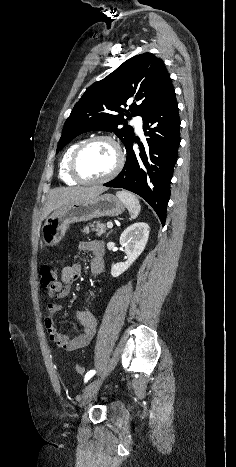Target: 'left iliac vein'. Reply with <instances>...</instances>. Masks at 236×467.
I'll return each instance as SVG.
<instances>
[{
  "label": "left iliac vein",
  "instance_id": "left-iliac-vein-1",
  "mask_svg": "<svg viewBox=\"0 0 236 467\" xmlns=\"http://www.w3.org/2000/svg\"><path fill=\"white\" fill-rule=\"evenodd\" d=\"M102 385V378L93 380L83 391L80 398V407H85L96 396L100 386Z\"/></svg>",
  "mask_w": 236,
  "mask_h": 467
}]
</instances>
